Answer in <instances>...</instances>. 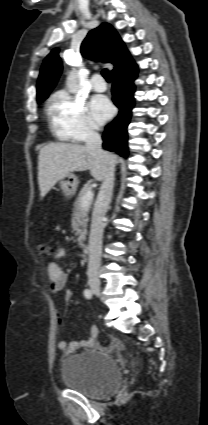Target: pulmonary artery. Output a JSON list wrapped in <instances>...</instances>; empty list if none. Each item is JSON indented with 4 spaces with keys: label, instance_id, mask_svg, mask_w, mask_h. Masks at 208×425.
Here are the masks:
<instances>
[{
    "label": "pulmonary artery",
    "instance_id": "pulmonary-artery-1",
    "mask_svg": "<svg viewBox=\"0 0 208 425\" xmlns=\"http://www.w3.org/2000/svg\"><path fill=\"white\" fill-rule=\"evenodd\" d=\"M91 87L97 92H103L106 90L107 85L100 74H94L91 78Z\"/></svg>",
    "mask_w": 208,
    "mask_h": 425
}]
</instances>
